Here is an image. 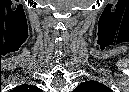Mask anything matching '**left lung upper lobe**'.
Segmentation results:
<instances>
[{
    "instance_id": "obj_1",
    "label": "left lung upper lobe",
    "mask_w": 129,
    "mask_h": 92,
    "mask_svg": "<svg viewBox=\"0 0 129 92\" xmlns=\"http://www.w3.org/2000/svg\"><path fill=\"white\" fill-rule=\"evenodd\" d=\"M76 92H112L110 88L97 81H87L79 85Z\"/></svg>"
}]
</instances>
